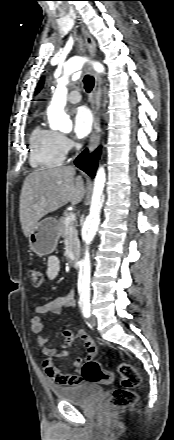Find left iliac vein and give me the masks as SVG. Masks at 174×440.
Returning <instances> with one entry per match:
<instances>
[{
	"label": "left iliac vein",
	"mask_w": 174,
	"mask_h": 440,
	"mask_svg": "<svg viewBox=\"0 0 174 440\" xmlns=\"http://www.w3.org/2000/svg\"><path fill=\"white\" fill-rule=\"evenodd\" d=\"M90 325L91 326H96L97 325V317L95 315H92L89 319Z\"/></svg>",
	"instance_id": "1"
}]
</instances>
